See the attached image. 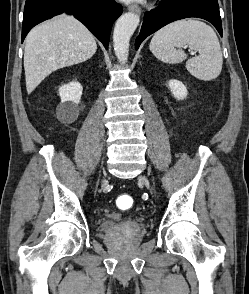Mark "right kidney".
<instances>
[{"label":"right kidney","mask_w":249,"mask_h":294,"mask_svg":"<svg viewBox=\"0 0 249 294\" xmlns=\"http://www.w3.org/2000/svg\"><path fill=\"white\" fill-rule=\"evenodd\" d=\"M83 88L77 81H72L59 88L61 103L57 107V115L66 122H73L79 115L78 103L81 99Z\"/></svg>","instance_id":"right-kidney-1"}]
</instances>
